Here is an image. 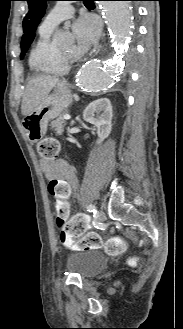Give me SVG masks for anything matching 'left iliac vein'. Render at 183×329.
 Instances as JSON below:
<instances>
[{
  "mask_svg": "<svg viewBox=\"0 0 183 329\" xmlns=\"http://www.w3.org/2000/svg\"><path fill=\"white\" fill-rule=\"evenodd\" d=\"M98 220L99 222H103L105 220V213L102 210L98 212Z\"/></svg>",
  "mask_w": 183,
  "mask_h": 329,
  "instance_id": "obj_1",
  "label": "left iliac vein"
}]
</instances>
